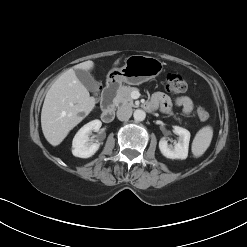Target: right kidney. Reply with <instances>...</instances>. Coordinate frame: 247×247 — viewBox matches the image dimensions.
<instances>
[{
	"instance_id": "ca27d5eb",
	"label": "right kidney",
	"mask_w": 247,
	"mask_h": 247,
	"mask_svg": "<svg viewBox=\"0 0 247 247\" xmlns=\"http://www.w3.org/2000/svg\"><path fill=\"white\" fill-rule=\"evenodd\" d=\"M102 122L93 120L85 124L74 136L72 141V154L80 158H89L99 149L98 143H91L89 135L92 131L98 132Z\"/></svg>"
}]
</instances>
